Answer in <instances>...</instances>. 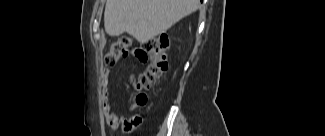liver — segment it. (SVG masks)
I'll return each instance as SVG.
<instances>
[{"label":"liver","mask_w":325,"mask_h":136,"mask_svg":"<svg viewBox=\"0 0 325 136\" xmlns=\"http://www.w3.org/2000/svg\"><path fill=\"white\" fill-rule=\"evenodd\" d=\"M200 0H107L105 31L109 36L128 33L146 43L195 12Z\"/></svg>","instance_id":"1"}]
</instances>
